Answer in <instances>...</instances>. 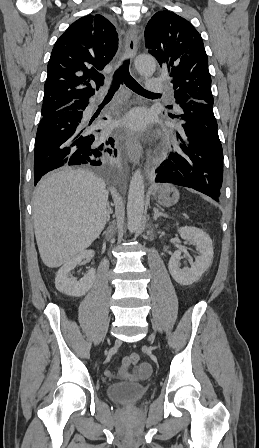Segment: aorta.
<instances>
[{"mask_svg": "<svg viewBox=\"0 0 259 448\" xmlns=\"http://www.w3.org/2000/svg\"><path fill=\"white\" fill-rule=\"evenodd\" d=\"M135 67L142 76H150L156 69L155 59L149 55H139ZM144 178L137 169L131 178L127 202V226L131 233L138 230L144 211Z\"/></svg>", "mask_w": 259, "mask_h": 448, "instance_id": "1", "label": "aorta"}]
</instances>
